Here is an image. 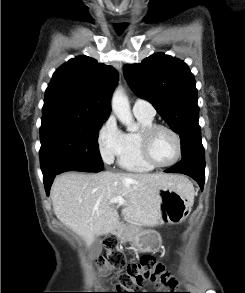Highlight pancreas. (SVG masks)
<instances>
[{
    "instance_id": "obj_1",
    "label": "pancreas",
    "mask_w": 245,
    "mask_h": 293,
    "mask_svg": "<svg viewBox=\"0 0 245 293\" xmlns=\"http://www.w3.org/2000/svg\"><path fill=\"white\" fill-rule=\"evenodd\" d=\"M139 229V225L128 221L127 223H122L118 228L117 235L122 242H127L130 236Z\"/></svg>"
}]
</instances>
